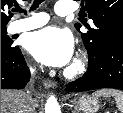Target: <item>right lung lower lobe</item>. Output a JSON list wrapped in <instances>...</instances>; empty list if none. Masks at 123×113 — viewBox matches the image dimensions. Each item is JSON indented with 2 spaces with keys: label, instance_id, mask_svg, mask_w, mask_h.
<instances>
[{
  "label": "right lung lower lobe",
  "instance_id": "98d812e1",
  "mask_svg": "<svg viewBox=\"0 0 123 113\" xmlns=\"http://www.w3.org/2000/svg\"><path fill=\"white\" fill-rule=\"evenodd\" d=\"M30 79V71L18 46L1 49V89H22Z\"/></svg>",
  "mask_w": 123,
  "mask_h": 113
}]
</instances>
